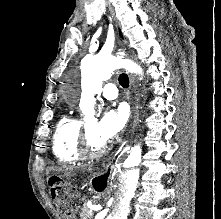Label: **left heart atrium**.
<instances>
[{"instance_id": "left-heart-atrium-1", "label": "left heart atrium", "mask_w": 221, "mask_h": 219, "mask_svg": "<svg viewBox=\"0 0 221 219\" xmlns=\"http://www.w3.org/2000/svg\"><path fill=\"white\" fill-rule=\"evenodd\" d=\"M127 120L128 110L125 106L109 108L97 123L95 134L101 141H109L124 128Z\"/></svg>"}]
</instances>
